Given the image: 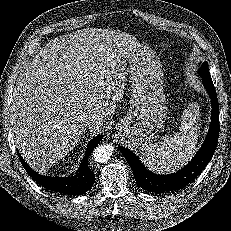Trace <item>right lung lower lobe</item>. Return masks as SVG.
Masks as SVG:
<instances>
[{
    "instance_id": "right-lung-lower-lobe-1",
    "label": "right lung lower lobe",
    "mask_w": 231,
    "mask_h": 231,
    "mask_svg": "<svg viewBox=\"0 0 231 231\" xmlns=\"http://www.w3.org/2000/svg\"><path fill=\"white\" fill-rule=\"evenodd\" d=\"M102 135L93 138L87 147L86 154L80 165L76 176L71 177H48L38 174L33 171L27 163L23 160L22 156L18 153L19 159L25 168L26 172L41 186L51 191L70 194L81 195L88 191L95 181V174L88 166V157L93 149L102 140Z\"/></svg>"
}]
</instances>
